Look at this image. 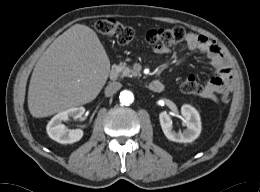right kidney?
<instances>
[{
    "label": "right kidney",
    "instance_id": "obj_1",
    "mask_svg": "<svg viewBox=\"0 0 260 192\" xmlns=\"http://www.w3.org/2000/svg\"><path fill=\"white\" fill-rule=\"evenodd\" d=\"M84 112V107H72L56 114L46 127L49 137L61 144H71L79 141L83 136V131L81 129H67L62 122L71 118L78 119Z\"/></svg>",
    "mask_w": 260,
    "mask_h": 192
}]
</instances>
